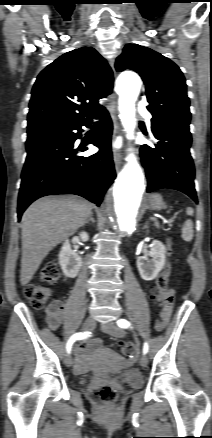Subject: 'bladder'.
Segmentation results:
<instances>
[{"label":"bladder","instance_id":"obj_1","mask_svg":"<svg viewBox=\"0 0 212 438\" xmlns=\"http://www.w3.org/2000/svg\"><path fill=\"white\" fill-rule=\"evenodd\" d=\"M88 378H91V376ZM116 378L130 387H138L141 385V380L139 376L130 370L119 373Z\"/></svg>","mask_w":212,"mask_h":438}]
</instances>
